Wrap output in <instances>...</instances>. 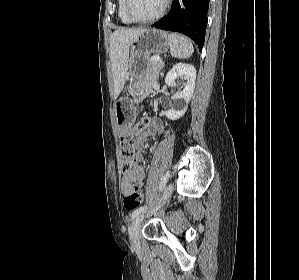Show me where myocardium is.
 Returning <instances> with one entry per match:
<instances>
[{"label":"myocardium","mask_w":299,"mask_h":280,"mask_svg":"<svg viewBox=\"0 0 299 280\" xmlns=\"http://www.w3.org/2000/svg\"><path fill=\"white\" fill-rule=\"evenodd\" d=\"M169 3H170V0H164L160 10L156 14H154L153 16H151L149 18H146V19L135 18L131 14V12H130V0H124V11H125V14L128 17V19L132 23L146 24V23L153 22V21L159 19L161 16H163V14L166 12V10L169 6Z\"/></svg>","instance_id":"obj_1"}]
</instances>
